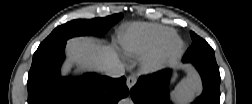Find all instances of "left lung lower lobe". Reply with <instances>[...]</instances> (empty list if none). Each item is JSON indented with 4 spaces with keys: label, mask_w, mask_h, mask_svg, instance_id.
Returning <instances> with one entry per match:
<instances>
[{
    "label": "left lung lower lobe",
    "mask_w": 252,
    "mask_h": 104,
    "mask_svg": "<svg viewBox=\"0 0 252 104\" xmlns=\"http://www.w3.org/2000/svg\"><path fill=\"white\" fill-rule=\"evenodd\" d=\"M192 63L203 82L202 94L192 104H219L220 73L216 61L198 60ZM172 71L165 69L157 73L142 76L130 90L135 104H170L169 83Z\"/></svg>",
    "instance_id": "left-lung-lower-lobe-1"
}]
</instances>
